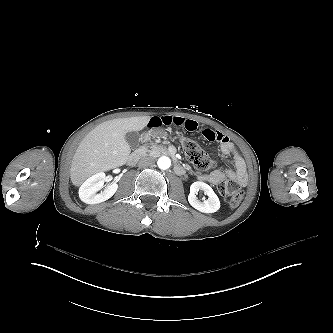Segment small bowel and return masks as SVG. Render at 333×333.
Returning <instances> with one entry per match:
<instances>
[{
	"label": "small bowel",
	"instance_id": "1",
	"mask_svg": "<svg viewBox=\"0 0 333 333\" xmlns=\"http://www.w3.org/2000/svg\"><path fill=\"white\" fill-rule=\"evenodd\" d=\"M164 125H172L176 127H181L187 131H197L199 129L198 121L193 118H187L182 116H169L164 118H152L148 122L150 128L160 127ZM147 125L144 127L146 130L149 128ZM202 134L207 140L219 141L221 143V152L230 157L232 161V167L227 169L225 172L221 170H215L208 174L200 175L199 178L203 181L210 183L211 185L217 186L221 182L226 180H231L237 183L239 186L244 187L247 185V171L245 161L236 149L235 145L229 141V139L220 131L212 128H204ZM220 139V140H217ZM181 168L179 166L177 170Z\"/></svg>",
	"mask_w": 333,
	"mask_h": 333
}]
</instances>
